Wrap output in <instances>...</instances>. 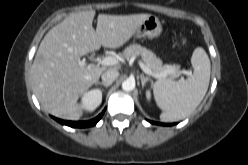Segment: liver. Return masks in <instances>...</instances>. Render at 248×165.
I'll list each match as a JSON object with an SVG mask.
<instances>
[{"label": "liver", "mask_w": 248, "mask_h": 165, "mask_svg": "<svg viewBox=\"0 0 248 165\" xmlns=\"http://www.w3.org/2000/svg\"><path fill=\"white\" fill-rule=\"evenodd\" d=\"M94 16V10L72 13L54 26L41 41L31 66L33 92L42 108L56 117L79 119V97L107 69L80 65L81 57L101 46H123L149 14H99L96 30L92 27Z\"/></svg>", "instance_id": "6515ba94"}]
</instances>
